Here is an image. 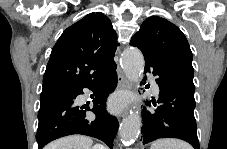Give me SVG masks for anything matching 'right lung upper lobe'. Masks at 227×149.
I'll return each instance as SVG.
<instances>
[{"mask_svg": "<svg viewBox=\"0 0 227 149\" xmlns=\"http://www.w3.org/2000/svg\"><path fill=\"white\" fill-rule=\"evenodd\" d=\"M111 21L90 13L68 27L54 45L43 77V89L74 87L113 63L118 43Z\"/></svg>", "mask_w": 227, "mask_h": 149, "instance_id": "cb5924a9", "label": "right lung upper lobe"}]
</instances>
